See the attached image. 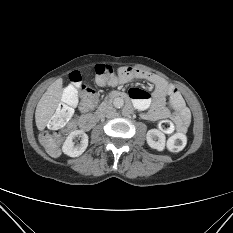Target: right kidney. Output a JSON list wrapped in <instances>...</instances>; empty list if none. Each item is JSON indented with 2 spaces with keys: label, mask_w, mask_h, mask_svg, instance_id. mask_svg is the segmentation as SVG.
<instances>
[{
  "label": "right kidney",
  "mask_w": 233,
  "mask_h": 233,
  "mask_svg": "<svg viewBox=\"0 0 233 233\" xmlns=\"http://www.w3.org/2000/svg\"><path fill=\"white\" fill-rule=\"evenodd\" d=\"M76 137L81 138L80 143L75 144L74 139ZM88 146V136L82 130H75L72 131L68 137L66 138L63 146L62 151L64 154L70 157H78L80 156Z\"/></svg>",
  "instance_id": "ca27d5eb"
}]
</instances>
